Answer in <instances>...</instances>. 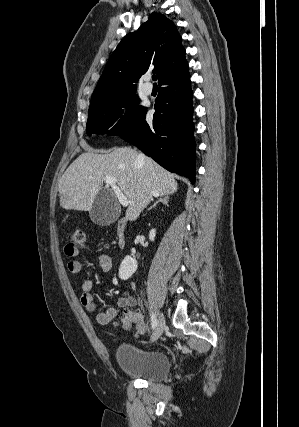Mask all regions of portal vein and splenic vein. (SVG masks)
I'll return each mask as SVG.
<instances>
[{
    "instance_id": "18ae733b",
    "label": "portal vein and splenic vein",
    "mask_w": 299,
    "mask_h": 427,
    "mask_svg": "<svg viewBox=\"0 0 299 427\" xmlns=\"http://www.w3.org/2000/svg\"><path fill=\"white\" fill-rule=\"evenodd\" d=\"M105 183L107 185H110L117 196L120 204L124 207L129 205V201L127 200L126 196L123 194V192L120 190V188L116 184V180L113 177L107 176L104 179Z\"/></svg>"
}]
</instances>
